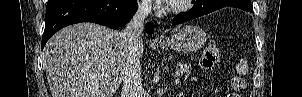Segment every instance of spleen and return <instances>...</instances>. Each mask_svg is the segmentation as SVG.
I'll return each mask as SVG.
<instances>
[{
	"label": "spleen",
	"instance_id": "obj_1",
	"mask_svg": "<svg viewBox=\"0 0 302 97\" xmlns=\"http://www.w3.org/2000/svg\"><path fill=\"white\" fill-rule=\"evenodd\" d=\"M248 71V67L245 61H241L237 66V73L240 75H245Z\"/></svg>",
	"mask_w": 302,
	"mask_h": 97
}]
</instances>
